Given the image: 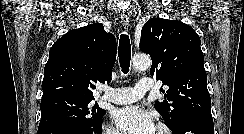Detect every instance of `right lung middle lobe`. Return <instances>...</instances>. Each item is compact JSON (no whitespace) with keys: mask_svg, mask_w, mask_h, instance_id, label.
I'll list each match as a JSON object with an SVG mask.
<instances>
[{"mask_svg":"<svg viewBox=\"0 0 244 134\" xmlns=\"http://www.w3.org/2000/svg\"><path fill=\"white\" fill-rule=\"evenodd\" d=\"M91 101L65 96L41 101L38 134H43L49 128L59 125L91 127L102 123L106 111L97 104L92 106Z\"/></svg>","mask_w":244,"mask_h":134,"instance_id":"obj_1","label":"right lung middle lobe"}]
</instances>
